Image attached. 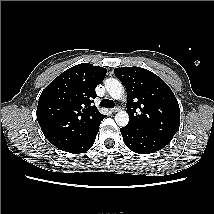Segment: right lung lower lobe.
<instances>
[{
  "instance_id": "right-lung-lower-lobe-1",
  "label": "right lung lower lobe",
  "mask_w": 214,
  "mask_h": 214,
  "mask_svg": "<svg viewBox=\"0 0 214 214\" xmlns=\"http://www.w3.org/2000/svg\"><path fill=\"white\" fill-rule=\"evenodd\" d=\"M98 131H99V126L83 142H81L78 146H76L75 148L71 149L68 152L79 154L89 150L95 142V138Z\"/></svg>"
}]
</instances>
